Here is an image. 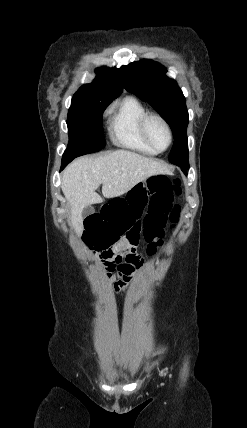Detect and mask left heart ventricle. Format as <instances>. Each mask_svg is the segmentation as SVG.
Segmentation results:
<instances>
[{"instance_id": "1", "label": "left heart ventricle", "mask_w": 247, "mask_h": 428, "mask_svg": "<svg viewBox=\"0 0 247 428\" xmlns=\"http://www.w3.org/2000/svg\"><path fill=\"white\" fill-rule=\"evenodd\" d=\"M149 134L157 148L164 149L167 146L169 137L162 123L152 120L149 124Z\"/></svg>"}]
</instances>
